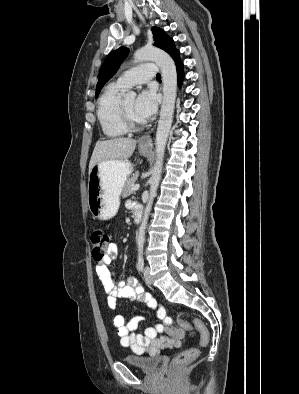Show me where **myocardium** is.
I'll list each match as a JSON object with an SVG mask.
<instances>
[{
	"mask_svg": "<svg viewBox=\"0 0 299 394\" xmlns=\"http://www.w3.org/2000/svg\"><path fill=\"white\" fill-rule=\"evenodd\" d=\"M119 114H120L121 122H122L123 126L127 129V131L128 130L129 131H134V130L140 129L142 127V125H143L142 121H140V122L134 121L129 116V114H128L127 110L125 109V106H124V100L120 101Z\"/></svg>",
	"mask_w": 299,
	"mask_h": 394,
	"instance_id": "1",
	"label": "myocardium"
}]
</instances>
